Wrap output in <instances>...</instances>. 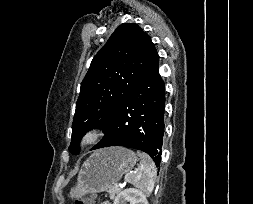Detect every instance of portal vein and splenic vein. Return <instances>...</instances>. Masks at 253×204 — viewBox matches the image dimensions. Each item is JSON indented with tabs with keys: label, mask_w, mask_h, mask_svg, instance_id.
I'll use <instances>...</instances> for the list:
<instances>
[{
	"label": "portal vein and splenic vein",
	"mask_w": 253,
	"mask_h": 204,
	"mask_svg": "<svg viewBox=\"0 0 253 204\" xmlns=\"http://www.w3.org/2000/svg\"><path fill=\"white\" fill-rule=\"evenodd\" d=\"M114 186H115V187H119L118 183H115Z\"/></svg>",
	"instance_id": "18ae733b"
}]
</instances>
